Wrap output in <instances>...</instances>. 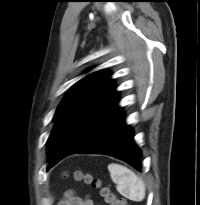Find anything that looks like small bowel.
<instances>
[{"label":"small bowel","mask_w":200,"mask_h":205,"mask_svg":"<svg viewBox=\"0 0 200 205\" xmlns=\"http://www.w3.org/2000/svg\"><path fill=\"white\" fill-rule=\"evenodd\" d=\"M61 205H94V203L89 199H81L74 196H68L66 200H64Z\"/></svg>","instance_id":"obj_1"}]
</instances>
